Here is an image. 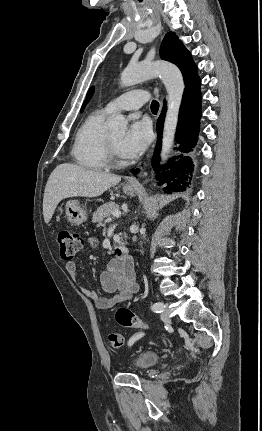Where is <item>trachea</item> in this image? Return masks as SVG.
Masks as SVG:
<instances>
[{"label": "trachea", "mask_w": 262, "mask_h": 431, "mask_svg": "<svg viewBox=\"0 0 262 431\" xmlns=\"http://www.w3.org/2000/svg\"><path fill=\"white\" fill-rule=\"evenodd\" d=\"M158 109H159V103L156 100H153L151 103V111L153 113H157Z\"/></svg>", "instance_id": "trachea-1"}]
</instances>
